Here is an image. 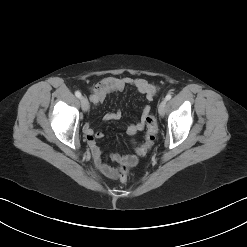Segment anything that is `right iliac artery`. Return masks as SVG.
<instances>
[{"label":"right iliac artery","mask_w":247,"mask_h":247,"mask_svg":"<svg viewBox=\"0 0 247 247\" xmlns=\"http://www.w3.org/2000/svg\"><path fill=\"white\" fill-rule=\"evenodd\" d=\"M76 97L81 98V93L79 91L75 92Z\"/></svg>","instance_id":"82829eb1"}]
</instances>
